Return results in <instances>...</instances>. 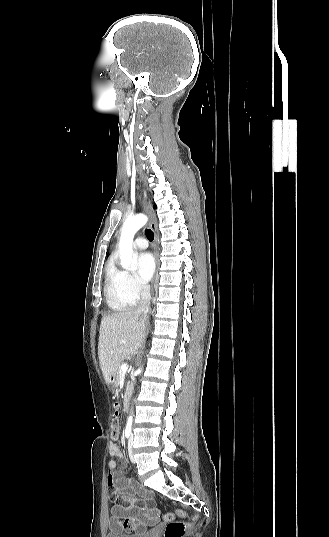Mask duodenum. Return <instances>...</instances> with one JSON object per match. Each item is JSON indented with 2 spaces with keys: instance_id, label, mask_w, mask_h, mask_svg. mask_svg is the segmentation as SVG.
<instances>
[{
  "instance_id": "410a0bca",
  "label": "duodenum",
  "mask_w": 329,
  "mask_h": 537,
  "mask_svg": "<svg viewBox=\"0 0 329 537\" xmlns=\"http://www.w3.org/2000/svg\"><path fill=\"white\" fill-rule=\"evenodd\" d=\"M124 407H125V408H127V407H128V403H127V401H126V400L124 401Z\"/></svg>"
}]
</instances>
